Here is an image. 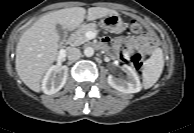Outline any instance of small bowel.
Returning <instances> with one entry per match:
<instances>
[{"mask_svg": "<svg viewBox=\"0 0 194 133\" xmlns=\"http://www.w3.org/2000/svg\"><path fill=\"white\" fill-rule=\"evenodd\" d=\"M157 42L158 37L156 35L150 36L144 33L133 37H120L114 41L104 39L100 45L105 49H112L122 59H126L128 55L138 50H140L142 55H147L157 47Z\"/></svg>", "mask_w": 194, "mask_h": 133, "instance_id": "small-bowel-1", "label": "small bowel"}]
</instances>
